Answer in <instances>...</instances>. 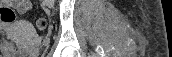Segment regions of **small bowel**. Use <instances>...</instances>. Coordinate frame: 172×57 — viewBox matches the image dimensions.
Instances as JSON below:
<instances>
[{"label": "small bowel", "mask_w": 172, "mask_h": 57, "mask_svg": "<svg viewBox=\"0 0 172 57\" xmlns=\"http://www.w3.org/2000/svg\"><path fill=\"white\" fill-rule=\"evenodd\" d=\"M14 4L18 6L20 12H24L29 7V1L26 0L14 1ZM2 49L4 51H10L12 49V45L6 43L3 45Z\"/></svg>", "instance_id": "1"}]
</instances>
